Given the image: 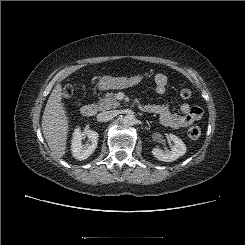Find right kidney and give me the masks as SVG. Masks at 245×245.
Here are the masks:
<instances>
[{
	"mask_svg": "<svg viewBox=\"0 0 245 245\" xmlns=\"http://www.w3.org/2000/svg\"><path fill=\"white\" fill-rule=\"evenodd\" d=\"M87 137L90 143L82 144V140ZM98 133L94 130L81 132L79 128L74 130L71 151L77 160H85L95 151L98 144Z\"/></svg>",
	"mask_w": 245,
	"mask_h": 245,
	"instance_id": "ca27d5eb",
	"label": "right kidney"
}]
</instances>
